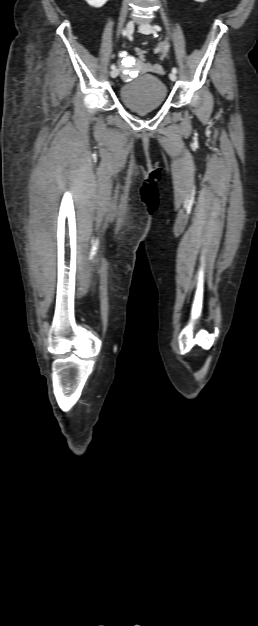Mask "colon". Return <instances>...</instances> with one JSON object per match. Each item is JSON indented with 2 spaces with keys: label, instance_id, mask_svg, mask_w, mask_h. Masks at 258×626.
Returning <instances> with one entry per match:
<instances>
[{
  "label": "colon",
  "instance_id": "1",
  "mask_svg": "<svg viewBox=\"0 0 258 626\" xmlns=\"http://www.w3.org/2000/svg\"><path fill=\"white\" fill-rule=\"evenodd\" d=\"M135 53H136V55H137L139 58L144 59V57H145V52H144L142 49H140V48H136V49H135Z\"/></svg>",
  "mask_w": 258,
  "mask_h": 626
}]
</instances>
